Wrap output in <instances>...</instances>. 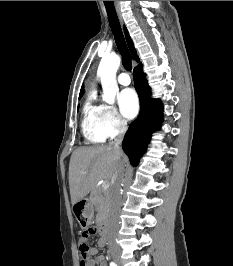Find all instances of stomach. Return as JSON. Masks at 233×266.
Segmentation results:
<instances>
[{
  "mask_svg": "<svg viewBox=\"0 0 233 266\" xmlns=\"http://www.w3.org/2000/svg\"><path fill=\"white\" fill-rule=\"evenodd\" d=\"M76 203L74 205V217L80 231H83V228H92L93 220L90 209H93V204H90V199H77Z\"/></svg>",
  "mask_w": 233,
  "mask_h": 266,
  "instance_id": "1",
  "label": "stomach"
}]
</instances>
